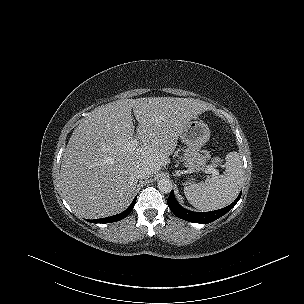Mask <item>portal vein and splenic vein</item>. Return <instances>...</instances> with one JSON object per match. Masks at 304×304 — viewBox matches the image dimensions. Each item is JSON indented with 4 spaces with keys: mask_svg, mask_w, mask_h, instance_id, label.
I'll list each match as a JSON object with an SVG mask.
<instances>
[{
    "mask_svg": "<svg viewBox=\"0 0 304 304\" xmlns=\"http://www.w3.org/2000/svg\"><path fill=\"white\" fill-rule=\"evenodd\" d=\"M139 145V139L134 138L133 140H131V142L129 143L130 147H137ZM208 173H211L213 177L219 175V171L214 169V168H208L207 170Z\"/></svg>",
    "mask_w": 304,
    "mask_h": 304,
    "instance_id": "18ae733b",
    "label": "portal vein and splenic vein"
}]
</instances>
